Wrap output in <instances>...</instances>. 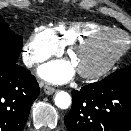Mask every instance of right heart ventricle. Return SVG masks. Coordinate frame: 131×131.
Segmentation results:
<instances>
[{
	"label": "right heart ventricle",
	"instance_id": "e07e8e85",
	"mask_svg": "<svg viewBox=\"0 0 131 131\" xmlns=\"http://www.w3.org/2000/svg\"><path fill=\"white\" fill-rule=\"evenodd\" d=\"M110 28L94 21H62L51 30L60 45L66 46L90 34Z\"/></svg>",
	"mask_w": 131,
	"mask_h": 131
}]
</instances>
